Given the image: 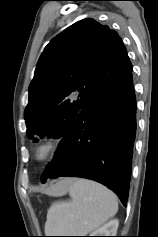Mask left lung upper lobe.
Instances as JSON below:
<instances>
[{"label":"left lung upper lobe","instance_id":"obj_1","mask_svg":"<svg viewBox=\"0 0 158 237\" xmlns=\"http://www.w3.org/2000/svg\"><path fill=\"white\" fill-rule=\"evenodd\" d=\"M131 70L115 31L91 18L74 23L40 56L24 112L28 137L63 138L86 104Z\"/></svg>","mask_w":158,"mask_h":237}]
</instances>
